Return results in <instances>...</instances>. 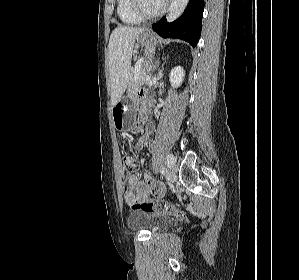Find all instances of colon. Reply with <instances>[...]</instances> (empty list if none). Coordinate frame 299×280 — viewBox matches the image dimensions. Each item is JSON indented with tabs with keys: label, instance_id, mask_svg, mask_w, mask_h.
<instances>
[{
	"label": "colon",
	"instance_id": "colon-1",
	"mask_svg": "<svg viewBox=\"0 0 299 280\" xmlns=\"http://www.w3.org/2000/svg\"><path fill=\"white\" fill-rule=\"evenodd\" d=\"M128 139V137L125 139ZM139 168V163L138 161L131 157V156H126L123 161V169H122V174L124 178H127L129 175H132L137 169ZM133 209H141L143 211H159L162 213H168L171 215H174L175 217L179 219H184L185 214L183 211L179 210L178 208L164 202V201H152V200H147L141 203H137L132 206Z\"/></svg>",
	"mask_w": 299,
	"mask_h": 280
}]
</instances>
